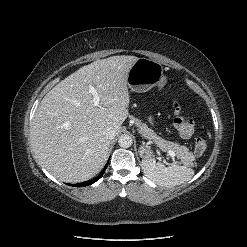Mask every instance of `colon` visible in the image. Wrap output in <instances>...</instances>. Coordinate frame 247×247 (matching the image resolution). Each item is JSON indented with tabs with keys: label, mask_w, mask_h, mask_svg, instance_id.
<instances>
[{
	"label": "colon",
	"mask_w": 247,
	"mask_h": 247,
	"mask_svg": "<svg viewBox=\"0 0 247 247\" xmlns=\"http://www.w3.org/2000/svg\"><path fill=\"white\" fill-rule=\"evenodd\" d=\"M176 118L174 121L175 128L183 138H189L195 130V122L192 117L184 113V105L181 102L174 103ZM207 148V140L203 135L196 136L194 140V152L201 155Z\"/></svg>",
	"instance_id": "1"
}]
</instances>
